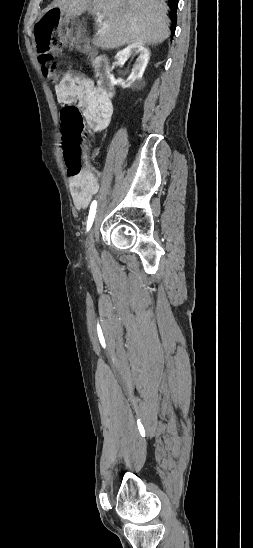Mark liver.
<instances>
[{
	"label": "liver",
	"mask_w": 253,
	"mask_h": 548,
	"mask_svg": "<svg viewBox=\"0 0 253 548\" xmlns=\"http://www.w3.org/2000/svg\"><path fill=\"white\" fill-rule=\"evenodd\" d=\"M59 8L61 15L74 18L88 11L101 15L102 22L92 43L102 49H115L132 43L154 45L169 35L168 7L163 0H54L48 9Z\"/></svg>",
	"instance_id": "6515ba94"
}]
</instances>
